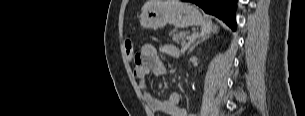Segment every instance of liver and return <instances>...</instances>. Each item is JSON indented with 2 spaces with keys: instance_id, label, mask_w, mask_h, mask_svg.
<instances>
[{
  "instance_id": "liver-1",
  "label": "liver",
  "mask_w": 305,
  "mask_h": 116,
  "mask_svg": "<svg viewBox=\"0 0 305 116\" xmlns=\"http://www.w3.org/2000/svg\"><path fill=\"white\" fill-rule=\"evenodd\" d=\"M175 1V0H172ZM163 2H171V1H162V0H148L142 7V13L148 9L150 6L156 4V3H163Z\"/></svg>"
}]
</instances>
